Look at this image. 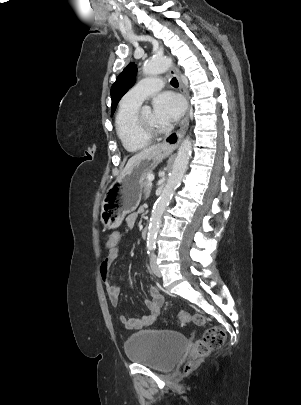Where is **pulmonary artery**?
<instances>
[{"instance_id": "pulmonary-artery-1", "label": "pulmonary artery", "mask_w": 301, "mask_h": 405, "mask_svg": "<svg viewBox=\"0 0 301 405\" xmlns=\"http://www.w3.org/2000/svg\"><path fill=\"white\" fill-rule=\"evenodd\" d=\"M163 80L159 77H147L132 87L123 97L122 102L140 106L141 103L163 87Z\"/></svg>"}]
</instances>
